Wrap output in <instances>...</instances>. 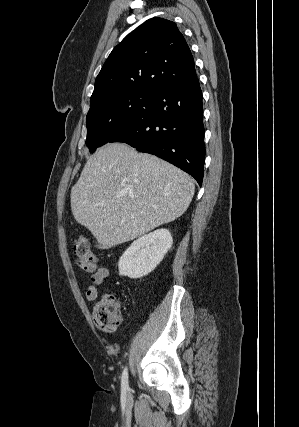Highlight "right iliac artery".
<instances>
[{
  "label": "right iliac artery",
  "mask_w": 299,
  "mask_h": 427,
  "mask_svg": "<svg viewBox=\"0 0 299 427\" xmlns=\"http://www.w3.org/2000/svg\"><path fill=\"white\" fill-rule=\"evenodd\" d=\"M121 388H122L123 391H126L129 388V386H128V370H127V367L124 369L123 374H122Z\"/></svg>",
  "instance_id": "1"
}]
</instances>
